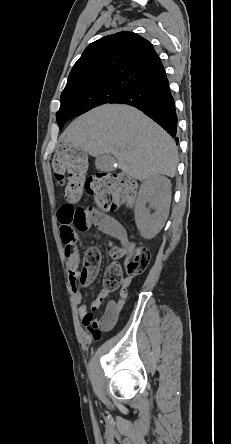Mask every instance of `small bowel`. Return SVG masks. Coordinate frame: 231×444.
<instances>
[{"label":"small bowel","instance_id":"c3829d8e","mask_svg":"<svg viewBox=\"0 0 231 444\" xmlns=\"http://www.w3.org/2000/svg\"><path fill=\"white\" fill-rule=\"evenodd\" d=\"M68 204L62 205L58 210V220L60 222V235L61 239L66 245V250L72 251V255L69 257V277L73 287V302L77 308V313L81 319L82 325L85 327L87 333L93 337L98 338L101 331L111 329L117 322L119 314L123 309L126 300L128 298V286L131 283L130 278H126L122 282V289L119 293V298L110 300L104 312L95 316L94 313L99 310L102 302L108 297V292L105 290L100 291L97 298L91 302L90 305L82 303V296L79 290V258L75 248L76 232L71 226L65 225L62 222V216L65 208ZM94 227L104 234L114 237L122 242L126 240V232L123 226L113 217L102 214Z\"/></svg>","mask_w":231,"mask_h":444}]
</instances>
